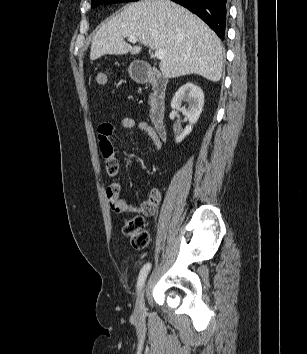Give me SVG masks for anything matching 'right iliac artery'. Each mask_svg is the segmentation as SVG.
I'll return each mask as SVG.
<instances>
[{"label": "right iliac artery", "instance_id": "1", "mask_svg": "<svg viewBox=\"0 0 307 354\" xmlns=\"http://www.w3.org/2000/svg\"><path fill=\"white\" fill-rule=\"evenodd\" d=\"M150 269H151V263H146L142 267V269H141V271L139 273L138 282H137V291L138 292L141 290V288H142V286H143V284L145 282V279H146Z\"/></svg>", "mask_w": 307, "mask_h": 354}]
</instances>
